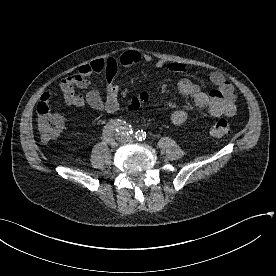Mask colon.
Returning a JSON list of instances; mask_svg holds the SVG:
<instances>
[{"instance_id":"obj_1","label":"colon","mask_w":276,"mask_h":276,"mask_svg":"<svg viewBox=\"0 0 276 276\" xmlns=\"http://www.w3.org/2000/svg\"><path fill=\"white\" fill-rule=\"evenodd\" d=\"M148 100L149 93L146 91L141 92L129 101L128 109L136 110L141 105L147 103ZM36 112L41 138L44 141L56 138L63 130V119L61 116L51 109L50 103L43 100H40L37 104ZM230 133V124L224 119L216 120L211 124L210 134L214 137H226Z\"/></svg>"}]
</instances>
